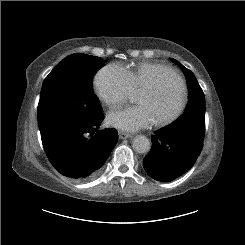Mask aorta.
<instances>
[{
  "mask_svg": "<svg viewBox=\"0 0 245 245\" xmlns=\"http://www.w3.org/2000/svg\"><path fill=\"white\" fill-rule=\"evenodd\" d=\"M132 147L137 153H147L150 150L151 143L144 135L136 136L132 141Z\"/></svg>",
  "mask_w": 245,
  "mask_h": 245,
  "instance_id": "762f6f07",
  "label": "aorta"
}]
</instances>
